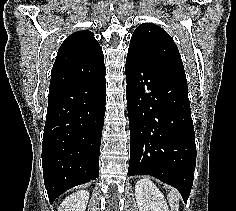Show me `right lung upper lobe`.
<instances>
[{"mask_svg": "<svg viewBox=\"0 0 236 211\" xmlns=\"http://www.w3.org/2000/svg\"><path fill=\"white\" fill-rule=\"evenodd\" d=\"M105 70L104 55L88 30L68 36L59 48L52 68L50 88L80 82Z\"/></svg>", "mask_w": 236, "mask_h": 211, "instance_id": "cb5924a9", "label": "right lung upper lobe"}]
</instances>
